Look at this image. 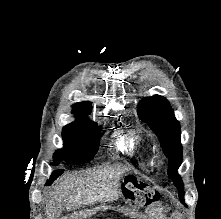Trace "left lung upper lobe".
Listing matches in <instances>:
<instances>
[{"label": "left lung upper lobe", "instance_id": "left-lung-upper-lobe-1", "mask_svg": "<svg viewBox=\"0 0 221 219\" xmlns=\"http://www.w3.org/2000/svg\"><path fill=\"white\" fill-rule=\"evenodd\" d=\"M137 111L140 119L146 121L160 139L163 152L168 158V175L173 179L184 202L183 182L177 174L182 163L181 131L169 102L159 95L147 97L139 102Z\"/></svg>", "mask_w": 221, "mask_h": 219}]
</instances>
